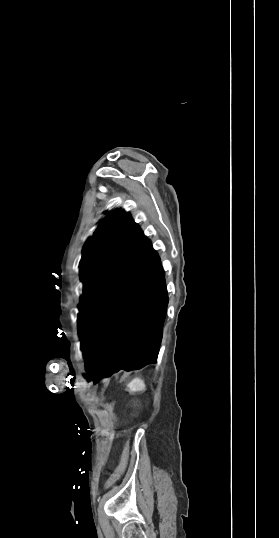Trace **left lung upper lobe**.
<instances>
[{
    "label": "left lung upper lobe",
    "mask_w": 279,
    "mask_h": 538,
    "mask_svg": "<svg viewBox=\"0 0 279 538\" xmlns=\"http://www.w3.org/2000/svg\"><path fill=\"white\" fill-rule=\"evenodd\" d=\"M145 239L142 230L129 213L124 211L114 210L100 222L83 249L80 263L83 297L78 319L86 306L124 266Z\"/></svg>",
    "instance_id": "1"
}]
</instances>
